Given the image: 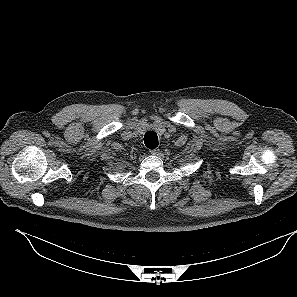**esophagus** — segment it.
<instances>
[{"instance_id": "esophagus-1", "label": "esophagus", "mask_w": 297, "mask_h": 297, "mask_svg": "<svg viewBox=\"0 0 297 297\" xmlns=\"http://www.w3.org/2000/svg\"><path fill=\"white\" fill-rule=\"evenodd\" d=\"M149 152H150V154H152V155H156V154L159 153V149H158V148L150 149Z\"/></svg>"}]
</instances>
